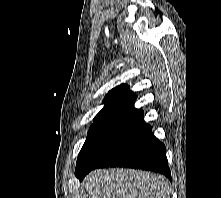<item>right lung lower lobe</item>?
<instances>
[{"instance_id": "right-lung-lower-lobe-1", "label": "right lung lower lobe", "mask_w": 221, "mask_h": 198, "mask_svg": "<svg viewBox=\"0 0 221 198\" xmlns=\"http://www.w3.org/2000/svg\"><path fill=\"white\" fill-rule=\"evenodd\" d=\"M103 167H129L150 170L164 174L171 179L166 158V148L153 135L149 124H144L133 138L106 158L96 168ZM85 175L78 178L82 180Z\"/></svg>"}]
</instances>
